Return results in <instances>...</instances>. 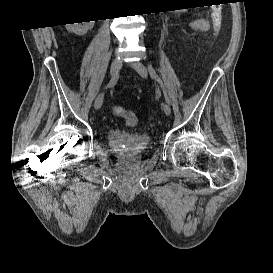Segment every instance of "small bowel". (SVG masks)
Wrapping results in <instances>:
<instances>
[{
    "label": "small bowel",
    "mask_w": 273,
    "mask_h": 273,
    "mask_svg": "<svg viewBox=\"0 0 273 273\" xmlns=\"http://www.w3.org/2000/svg\"><path fill=\"white\" fill-rule=\"evenodd\" d=\"M190 26L195 31H206L210 27V24L203 18H196L192 20Z\"/></svg>",
    "instance_id": "small-bowel-1"
}]
</instances>
